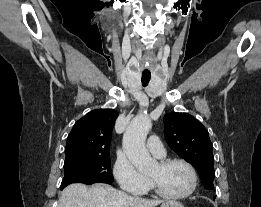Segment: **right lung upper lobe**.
<instances>
[{
  "label": "right lung upper lobe",
  "mask_w": 261,
  "mask_h": 207,
  "mask_svg": "<svg viewBox=\"0 0 261 207\" xmlns=\"http://www.w3.org/2000/svg\"><path fill=\"white\" fill-rule=\"evenodd\" d=\"M118 116L113 109H96L79 119L67 138L66 161L109 156L111 134Z\"/></svg>",
  "instance_id": "obj_1"
}]
</instances>
